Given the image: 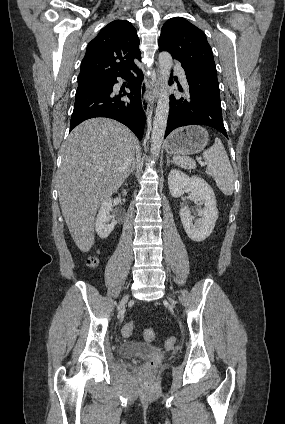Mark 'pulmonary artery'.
<instances>
[{
	"label": "pulmonary artery",
	"mask_w": 285,
	"mask_h": 424,
	"mask_svg": "<svg viewBox=\"0 0 285 424\" xmlns=\"http://www.w3.org/2000/svg\"><path fill=\"white\" fill-rule=\"evenodd\" d=\"M174 70L179 74V76H180V78H181V81H182V83L184 84V85H187V82H186V78H185V75H184V70H183V68L181 67V66H179V65H175L174 66Z\"/></svg>",
	"instance_id": "1"
}]
</instances>
